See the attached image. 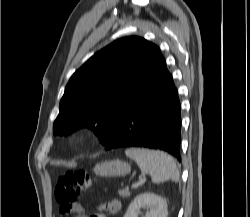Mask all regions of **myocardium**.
Instances as JSON below:
<instances>
[{
	"label": "myocardium",
	"mask_w": 250,
	"mask_h": 217,
	"mask_svg": "<svg viewBox=\"0 0 250 217\" xmlns=\"http://www.w3.org/2000/svg\"><path fill=\"white\" fill-rule=\"evenodd\" d=\"M90 135L88 132L82 131L77 134L76 136V142L80 145H85L89 142Z\"/></svg>",
	"instance_id": "myocardium-1"
}]
</instances>
